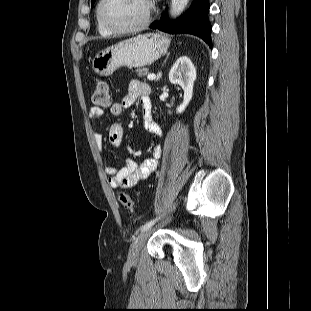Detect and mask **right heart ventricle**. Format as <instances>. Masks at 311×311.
<instances>
[{"instance_id":"e07e8e85","label":"right heart ventricle","mask_w":311,"mask_h":311,"mask_svg":"<svg viewBox=\"0 0 311 311\" xmlns=\"http://www.w3.org/2000/svg\"><path fill=\"white\" fill-rule=\"evenodd\" d=\"M96 28L97 31L100 35L102 36H109L112 34L111 31H109L99 20L98 16H97V11H96Z\"/></svg>"}]
</instances>
